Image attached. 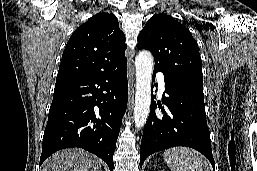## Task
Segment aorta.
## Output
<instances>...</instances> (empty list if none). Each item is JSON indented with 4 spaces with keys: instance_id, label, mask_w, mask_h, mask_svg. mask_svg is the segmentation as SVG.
<instances>
[{
    "instance_id": "aorta-1",
    "label": "aorta",
    "mask_w": 257,
    "mask_h": 171,
    "mask_svg": "<svg viewBox=\"0 0 257 171\" xmlns=\"http://www.w3.org/2000/svg\"><path fill=\"white\" fill-rule=\"evenodd\" d=\"M153 66L152 54L149 51H140L135 59L136 94L134 122L137 129L145 125L150 112Z\"/></svg>"
}]
</instances>
